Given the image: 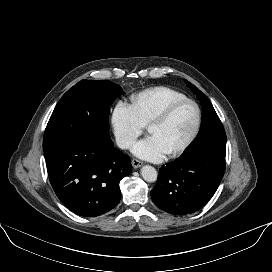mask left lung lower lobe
Here are the masks:
<instances>
[{
	"mask_svg": "<svg viewBox=\"0 0 272 272\" xmlns=\"http://www.w3.org/2000/svg\"><path fill=\"white\" fill-rule=\"evenodd\" d=\"M224 172L225 158L207 152L184 153L159 169L152 200L173 215L195 213L212 198Z\"/></svg>",
	"mask_w": 272,
	"mask_h": 272,
	"instance_id": "0a47b994",
	"label": "left lung lower lobe"
}]
</instances>
